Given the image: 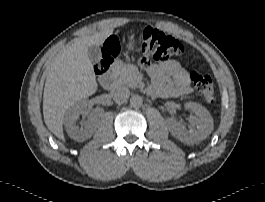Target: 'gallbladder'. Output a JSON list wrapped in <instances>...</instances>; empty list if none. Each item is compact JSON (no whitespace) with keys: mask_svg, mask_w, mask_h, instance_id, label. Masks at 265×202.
<instances>
[{"mask_svg":"<svg viewBox=\"0 0 265 202\" xmlns=\"http://www.w3.org/2000/svg\"><path fill=\"white\" fill-rule=\"evenodd\" d=\"M88 57L93 64H97L101 60V49L98 45H91L88 48Z\"/></svg>","mask_w":265,"mask_h":202,"instance_id":"bac80fb5","label":"gallbladder"}]
</instances>
